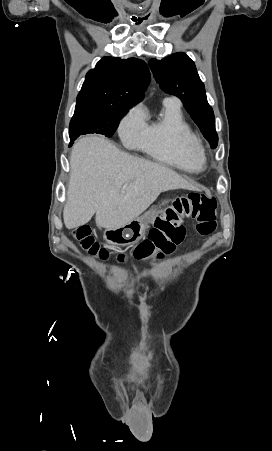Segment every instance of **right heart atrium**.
<instances>
[{
  "label": "right heart atrium",
  "mask_w": 272,
  "mask_h": 451,
  "mask_svg": "<svg viewBox=\"0 0 272 451\" xmlns=\"http://www.w3.org/2000/svg\"><path fill=\"white\" fill-rule=\"evenodd\" d=\"M146 129L145 113L141 106L132 108L120 124L119 133L128 144H136Z\"/></svg>",
  "instance_id": "right-heart-atrium-1"
}]
</instances>
